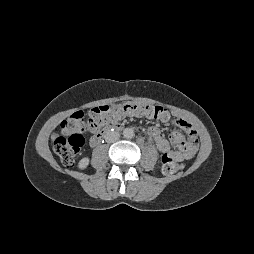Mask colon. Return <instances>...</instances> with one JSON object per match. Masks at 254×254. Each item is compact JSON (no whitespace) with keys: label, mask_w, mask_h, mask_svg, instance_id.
Listing matches in <instances>:
<instances>
[{"label":"colon","mask_w":254,"mask_h":254,"mask_svg":"<svg viewBox=\"0 0 254 254\" xmlns=\"http://www.w3.org/2000/svg\"><path fill=\"white\" fill-rule=\"evenodd\" d=\"M163 108L152 105H100L89 110L87 118L83 112H75L61 124V134L54 140V150L66 166H72L84 145L85 132H99L114 125L124 117L144 116L158 118ZM181 165L170 156L162 158L161 170L164 175L177 173Z\"/></svg>","instance_id":"colon-1"}]
</instances>
